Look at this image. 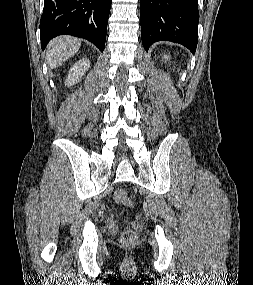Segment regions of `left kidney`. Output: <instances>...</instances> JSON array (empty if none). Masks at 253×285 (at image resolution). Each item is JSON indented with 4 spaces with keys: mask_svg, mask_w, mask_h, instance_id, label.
I'll list each match as a JSON object with an SVG mask.
<instances>
[{
    "mask_svg": "<svg viewBox=\"0 0 253 285\" xmlns=\"http://www.w3.org/2000/svg\"><path fill=\"white\" fill-rule=\"evenodd\" d=\"M163 59H164V60H165V62H166V61H168V59H170V58H169V56H168V55H164V56H163Z\"/></svg>",
    "mask_w": 253,
    "mask_h": 285,
    "instance_id": "1",
    "label": "left kidney"
}]
</instances>
